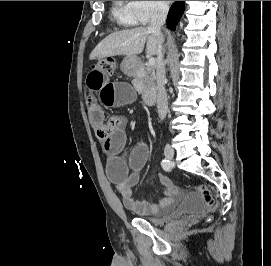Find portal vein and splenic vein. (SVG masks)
<instances>
[{
    "instance_id": "portal-vein-and-splenic-vein-1",
    "label": "portal vein and splenic vein",
    "mask_w": 271,
    "mask_h": 266,
    "mask_svg": "<svg viewBox=\"0 0 271 266\" xmlns=\"http://www.w3.org/2000/svg\"><path fill=\"white\" fill-rule=\"evenodd\" d=\"M148 65H149V66H154V65H155V59L151 57V58L148 60Z\"/></svg>"
}]
</instances>
